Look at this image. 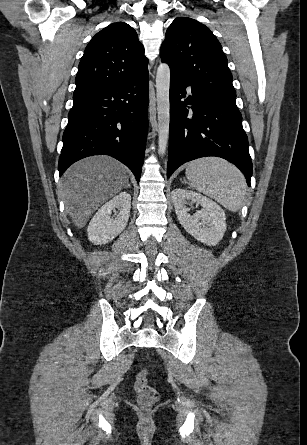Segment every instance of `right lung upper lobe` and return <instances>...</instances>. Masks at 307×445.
Returning <instances> with one entry per match:
<instances>
[{"label":"right lung upper lobe","instance_id":"1","mask_svg":"<svg viewBox=\"0 0 307 445\" xmlns=\"http://www.w3.org/2000/svg\"><path fill=\"white\" fill-rule=\"evenodd\" d=\"M147 63L136 31L124 22L110 24L87 45L74 94L124 82L148 71Z\"/></svg>","mask_w":307,"mask_h":445}]
</instances>
